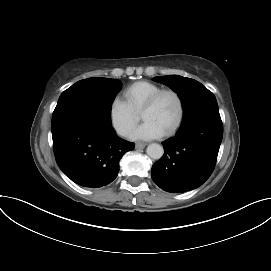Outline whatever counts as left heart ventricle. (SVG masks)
<instances>
[{
  "instance_id": "left-heart-ventricle-1",
  "label": "left heart ventricle",
  "mask_w": 271,
  "mask_h": 271,
  "mask_svg": "<svg viewBox=\"0 0 271 271\" xmlns=\"http://www.w3.org/2000/svg\"><path fill=\"white\" fill-rule=\"evenodd\" d=\"M178 114L176 99L171 94L160 97L156 105L141 113L143 120H150L157 124L164 132L174 124Z\"/></svg>"
}]
</instances>
